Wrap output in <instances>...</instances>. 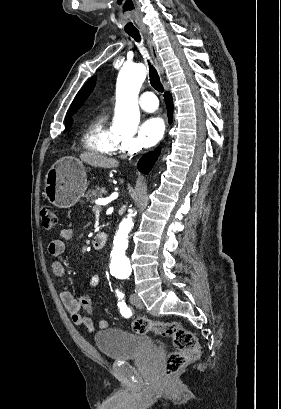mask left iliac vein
Listing matches in <instances>:
<instances>
[{
    "mask_svg": "<svg viewBox=\"0 0 281 409\" xmlns=\"http://www.w3.org/2000/svg\"><path fill=\"white\" fill-rule=\"evenodd\" d=\"M130 302L131 304L135 305V306H142V301L140 299V297L136 294V293H132L130 296Z\"/></svg>",
    "mask_w": 281,
    "mask_h": 409,
    "instance_id": "left-iliac-vein-1",
    "label": "left iliac vein"
}]
</instances>
